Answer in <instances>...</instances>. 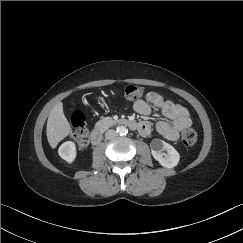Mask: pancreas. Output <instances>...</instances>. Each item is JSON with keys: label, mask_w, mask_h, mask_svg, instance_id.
Wrapping results in <instances>:
<instances>
[{"label": "pancreas", "mask_w": 243, "mask_h": 243, "mask_svg": "<svg viewBox=\"0 0 243 243\" xmlns=\"http://www.w3.org/2000/svg\"><path fill=\"white\" fill-rule=\"evenodd\" d=\"M114 124V120L110 117H104L96 123V128L106 129Z\"/></svg>", "instance_id": "cf45deb5"}]
</instances>
